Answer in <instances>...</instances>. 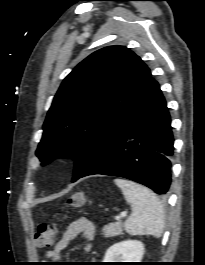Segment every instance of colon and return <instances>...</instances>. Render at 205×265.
Returning <instances> with one entry per match:
<instances>
[{"label":"colon","mask_w":205,"mask_h":265,"mask_svg":"<svg viewBox=\"0 0 205 265\" xmlns=\"http://www.w3.org/2000/svg\"><path fill=\"white\" fill-rule=\"evenodd\" d=\"M84 193L78 191L74 193L69 204L74 207H79L84 203ZM56 239V227L53 224H41L35 234V242L39 247H50Z\"/></svg>","instance_id":"1"}]
</instances>
